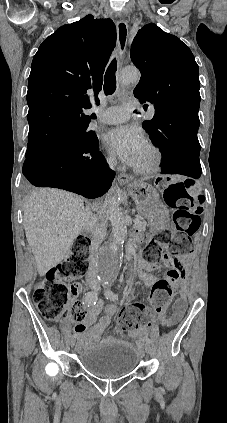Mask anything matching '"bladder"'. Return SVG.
<instances>
[{
	"label": "bladder",
	"instance_id": "obj_1",
	"mask_svg": "<svg viewBox=\"0 0 227 423\" xmlns=\"http://www.w3.org/2000/svg\"><path fill=\"white\" fill-rule=\"evenodd\" d=\"M140 360V353L131 343H112L82 354L79 364L97 378L117 379L132 374Z\"/></svg>",
	"mask_w": 227,
	"mask_h": 423
}]
</instances>
